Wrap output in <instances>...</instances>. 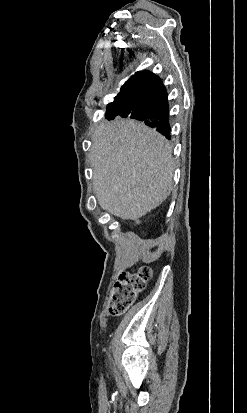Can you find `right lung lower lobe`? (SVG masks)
<instances>
[{"instance_id":"98d812e1","label":"right lung lower lobe","mask_w":247,"mask_h":413,"mask_svg":"<svg viewBox=\"0 0 247 413\" xmlns=\"http://www.w3.org/2000/svg\"><path fill=\"white\" fill-rule=\"evenodd\" d=\"M128 83L135 88L134 99H119L108 105L106 119L116 116L143 121L170 139L169 105L161 79L146 71L131 77Z\"/></svg>"}]
</instances>
